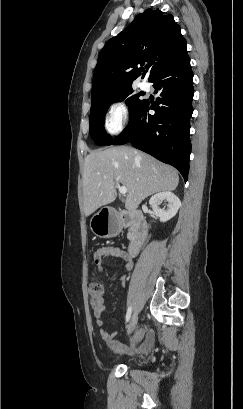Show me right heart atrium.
<instances>
[{"instance_id":"d8ad5b80","label":"right heart atrium","mask_w":243,"mask_h":409,"mask_svg":"<svg viewBox=\"0 0 243 409\" xmlns=\"http://www.w3.org/2000/svg\"><path fill=\"white\" fill-rule=\"evenodd\" d=\"M128 107L122 99L112 100L105 113V128L112 135L119 134L128 123Z\"/></svg>"}]
</instances>
